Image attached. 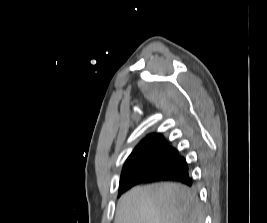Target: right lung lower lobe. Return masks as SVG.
I'll return each instance as SVG.
<instances>
[{
	"label": "right lung lower lobe",
	"instance_id": "1",
	"mask_svg": "<svg viewBox=\"0 0 267 223\" xmlns=\"http://www.w3.org/2000/svg\"><path fill=\"white\" fill-rule=\"evenodd\" d=\"M159 180H172L190 186L192 184V178L189 176V169L186 160L183 159L177 167L168 173L139 171L122 176L120 180L119 194L134 185Z\"/></svg>",
	"mask_w": 267,
	"mask_h": 223
}]
</instances>
